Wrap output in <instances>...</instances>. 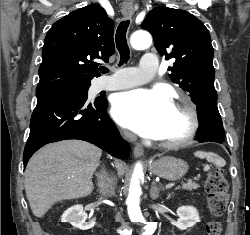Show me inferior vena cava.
<instances>
[{
  "instance_id": "obj_1",
  "label": "inferior vena cava",
  "mask_w": 250,
  "mask_h": 235,
  "mask_svg": "<svg viewBox=\"0 0 250 235\" xmlns=\"http://www.w3.org/2000/svg\"><path fill=\"white\" fill-rule=\"evenodd\" d=\"M124 136L130 140H134V135L128 132L124 133ZM98 184L100 187V191L103 195L114 194L116 179L114 177H109L107 173H100L98 175ZM116 220L124 222L121 214L116 215Z\"/></svg>"
}]
</instances>
